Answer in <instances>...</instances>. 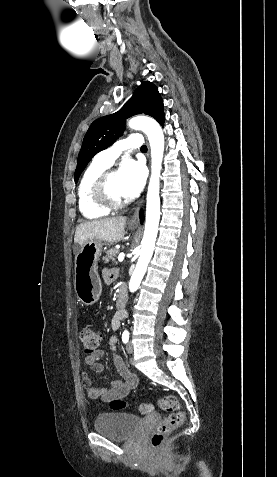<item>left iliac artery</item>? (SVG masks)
<instances>
[{
  "instance_id": "obj_1",
  "label": "left iliac artery",
  "mask_w": 277,
  "mask_h": 477,
  "mask_svg": "<svg viewBox=\"0 0 277 477\" xmlns=\"http://www.w3.org/2000/svg\"><path fill=\"white\" fill-rule=\"evenodd\" d=\"M128 340H129V332H128L127 330H125V331L123 332V334H122V341H123L124 343H127Z\"/></svg>"
}]
</instances>
